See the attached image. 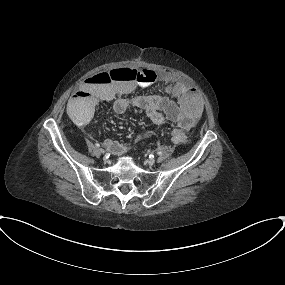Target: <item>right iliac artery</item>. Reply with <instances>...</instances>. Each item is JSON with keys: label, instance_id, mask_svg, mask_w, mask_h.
I'll use <instances>...</instances> for the list:
<instances>
[{"label": "right iliac artery", "instance_id": "obj_1", "mask_svg": "<svg viewBox=\"0 0 285 285\" xmlns=\"http://www.w3.org/2000/svg\"><path fill=\"white\" fill-rule=\"evenodd\" d=\"M95 146L97 147V148H99L100 147V144L99 143H95Z\"/></svg>", "mask_w": 285, "mask_h": 285}]
</instances>
